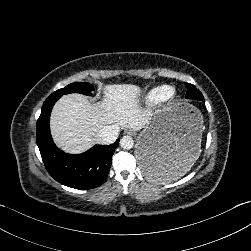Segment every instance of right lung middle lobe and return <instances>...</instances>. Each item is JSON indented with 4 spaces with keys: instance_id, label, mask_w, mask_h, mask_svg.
<instances>
[{
    "instance_id": "1",
    "label": "right lung middle lobe",
    "mask_w": 251,
    "mask_h": 251,
    "mask_svg": "<svg viewBox=\"0 0 251 251\" xmlns=\"http://www.w3.org/2000/svg\"><path fill=\"white\" fill-rule=\"evenodd\" d=\"M94 87L86 82H75L67 85L65 88L59 89L51 94L52 97L58 96L61 97L62 95L69 94V93H81L87 96L92 95V91Z\"/></svg>"
}]
</instances>
